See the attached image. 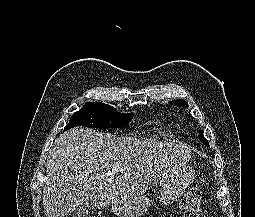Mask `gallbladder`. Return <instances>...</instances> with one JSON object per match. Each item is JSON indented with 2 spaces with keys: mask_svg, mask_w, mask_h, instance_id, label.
I'll return each instance as SVG.
<instances>
[{
  "mask_svg": "<svg viewBox=\"0 0 255 217\" xmlns=\"http://www.w3.org/2000/svg\"><path fill=\"white\" fill-rule=\"evenodd\" d=\"M69 214L71 217H88V210L83 206H79L71 210Z\"/></svg>",
  "mask_w": 255,
  "mask_h": 217,
  "instance_id": "gallbladder-1",
  "label": "gallbladder"
}]
</instances>
